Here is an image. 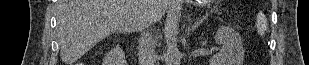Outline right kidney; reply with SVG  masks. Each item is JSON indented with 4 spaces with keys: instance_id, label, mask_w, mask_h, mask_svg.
Segmentation results:
<instances>
[{
    "instance_id": "right-kidney-1",
    "label": "right kidney",
    "mask_w": 309,
    "mask_h": 65,
    "mask_svg": "<svg viewBox=\"0 0 309 65\" xmlns=\"http://www.w3.org/2000/svg\"><path fill=\"white\" fill-rule=\"evenodd\" d=\"M105 65H126L125 55L123 50L119 45L111 49L110 52L106 55Z\"/></svg>"
}]
</instances>
